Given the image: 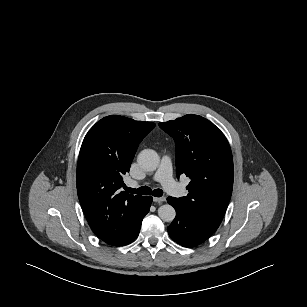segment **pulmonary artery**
<instances>
[{"mask_svg":"<svg viewBox=\"0 0 307 307\" xmlns=\"http://www.w3.org/2000/svg\"><path fill=\"white\" fill-rule=\"evenodd\" d=\"M153 179L160 182L165 190L173 195H178L182 191V188L174 181L172 177V163L170 157L167 155L162 157L161 164ZM128 185L130 187H135L137 186V182L130 180Z\"/></svg>","mask_w":307,"mask_h":307,"instance_id":"pulmonary-artery-1","label":"pulmonary artery"}]
</instances>
